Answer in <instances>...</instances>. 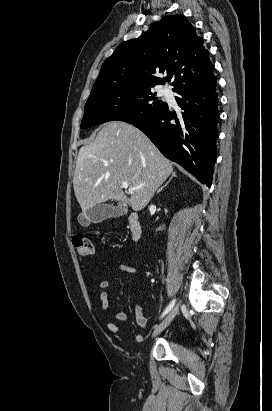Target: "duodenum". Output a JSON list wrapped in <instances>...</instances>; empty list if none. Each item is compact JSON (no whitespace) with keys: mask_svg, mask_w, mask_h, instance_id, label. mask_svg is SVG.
Here are the masks:
<instances>
[{"mask_svg":"<svg viewBox=\"0 0 272 411\" xmlns=\"http://www.w3.org/2000/svg\"><path fill=\"white\" fill-rule=\"evenodd\" d=\"M129 233L133 241H140L143 236V229L139 217L136 213H131L128 217Z\"/></svg>","mask_w":272,"mask_h":411,"instance_id":"410a0bca","label":"duodenum"}]
</instances>
